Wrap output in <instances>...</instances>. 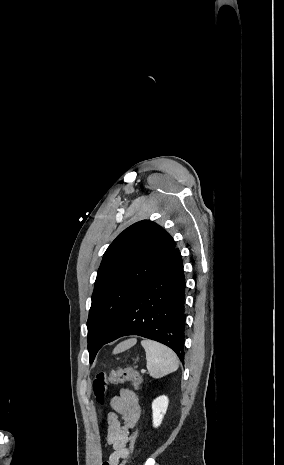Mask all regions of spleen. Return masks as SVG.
Instances as JSON below:
<instances>
[{
  "label": "spleen",
  "mask_w": 284,
  "mask_h": 465,
  "mask_svg": "<svg viewBox=\"0 0 284 465\" xmlns=\"http://www.w3.org/2000/svg\"><path fill=\"white\" fill-rule=\"evenodd\" d=\"M141 345L146 353V367L153 379H161V377L177 371L179 361L171 349L156 343V341H149V339L141 341Z\"/></svg>",
  "instance_id": "spleen-1"
}]
</instances>
